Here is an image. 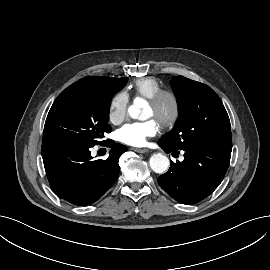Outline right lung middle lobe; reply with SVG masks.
I'll return each mask as SVG.
<instances>
[{
    "instance_id": "right-lung-middle-lobe-1",
    "label": "right lung middle lobe",
    "mask_w": 270,
    "mask_h": 270,
    "mask_svg": "<svg viewBox=\"0 0 270 270\" xmlns=\"http://www.w3.org/2000/svg\"><path fill=\"white\" fill-rule=\"evenodd\" d=\"M128 78L108 84L66 88L54 101L46 118L43 144L64 143L93 147L111 132L108 124L112 96Z\"/></svg>"
}]
</instances>
